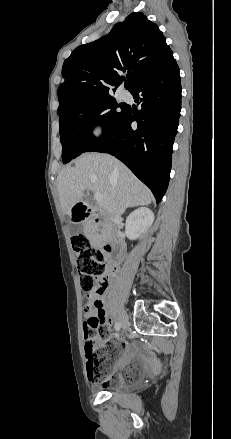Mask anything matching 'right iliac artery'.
Wrapping results in <instances>:
<instances>
[{
	"mask_svg": "<svg viewBox=\"0 0 231 439\" xmlns=\"http://www.w3.org/2000/svg\"><path fill=\"white\" fill-rule=\"evenodd\" d=\"M120 327H121V326H120V323H119V322H116V323H115V326H114L115 330H116V331H119V330H120Z\"/></svg>",
	"mask_w": 231,
	"mask_h": 439,
	"instance_id": "82829eb1",
	"label": "right iliac artery"
}]
</instances>
